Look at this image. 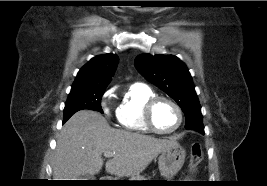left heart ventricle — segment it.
<instances>
[{
	"instance_id": "b2bd125f",
	"label": "left heart ventricle",
	"mask_w": 267,
	"mask_h": 186,
	"mask_svg": "<svg viewBox=\"0 0 267 186\" xmlns=\"http://www.w3.org/2000/svg\"><path fill=\"white\" fill-rule=\"evenodd\" d=\"M153 121L160 130H171L178 122L176 109L166 101L158 102L153 111Z\"/></svg>"
}]
</instances>
